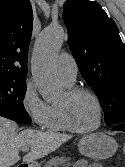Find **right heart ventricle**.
Masks as SVG:
<instances>
[{"label":"right heart ventricle","mask_w":125,"mask_h":167,"mask_svg":"<svg viewBox=\"0 0 125 167\" xmlns=\"http://www.w3.org/2000/svg\"><path fill=\"white\" fill-rule=\"evenodd\" d=\"M67 86L71 87L72 84H67ZM45 128L53 132H66L69 130L62 120L57 104L51 105L50 118Z\"/></svg>","instance_id":"e07e8e85"}]
</instances>
